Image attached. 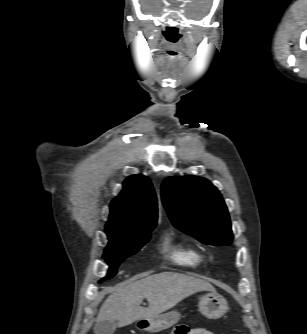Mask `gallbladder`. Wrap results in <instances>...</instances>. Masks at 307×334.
Here are the masks:
<instances>
[{"instance_id": "obj_1", "label": "gallbladder", "mask_w": 307, "mask_h": 334, "mask_svg": "<svg viewBox=\"0 0 307 334\" xmlns=\"http://www.w3.org/2000/svg\"><path fill=\"white\" fill-rule=\"evenodd\" d=\"M116 327V321H99L94 326V332L95 334H113Z\"/></svg>"}]
</instances>
